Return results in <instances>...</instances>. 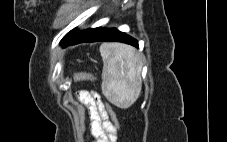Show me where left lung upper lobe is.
<instances>
[{"label":"left lung upper lobe","mask_w":227,"mask_h":142,"mask_svg":"<svg viewBox=\"0 0 227 142\" xmlns=\"http://www.w3.org/2000/svg\"><path fill=\"white\" fill-rule=\"evenodd\" d=\"M75 29L70 31L61 41V44H64L66 41H68L69 39H71L74 35H75Z\"/></svg>","instance_id":"5c2ea615"}]
</instances>
